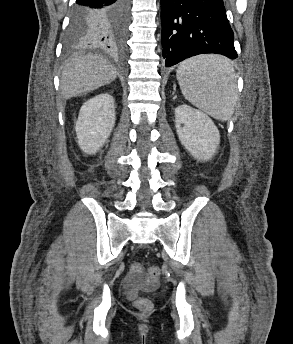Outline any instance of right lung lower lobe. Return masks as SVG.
Segmentation results:
<instances>
[{"label":"right lung lower lobe","mask_w":293,"mask_h":344,"mask_svg":"<svg viewBox=\"0 0 293 344\" xmlns=\"http://www.w3.org/2000/svg\"><path fill=\"white\" fill-rule=\"evenodd\" d=\"M75 11L90 19L85 27L87 44L121 51L129 20V0H76Z\"/></svg>","instance_id":"right-lung-lower-lobe-1"}]
</instances>
